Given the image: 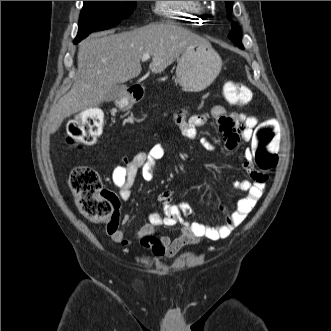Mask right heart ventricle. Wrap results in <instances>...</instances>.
<instances>
[{
    "instance_id": "obj_1",
    "label": "right heart ventricle",
    "mask_w": 331,
    "mask_h": 331,
    "mask_svg": "<svg viewBox=\"0 0 331 331\" xmlns=\"http://www.w3.org/2000/svg\"><path fill=\"white\" fill-rule=\"evenodd\" d=\"M155 11L166 19L191 23L200 20L203 1H155Z\"/></svg>"
}]
</instances>
